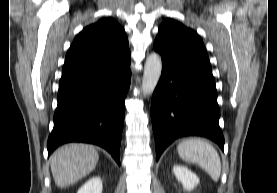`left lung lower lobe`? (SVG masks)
Instances as JSON below:
<instances>
[{"instance_id": "obj_1", "label": "left lung lower lobe", "mask_w": 277, "mask_h": 193, "mask_svg": "<svg viewBox=\"0 0 277 193\" xmlns=\"http://www.w3.org/2000/svg\"><path fill=\"white\" fill-rule=\"evenodd\" d=\"M162 56V74L151 101V119L157 160L175 139L203 136L222 149L220 111L211 66L207 62L177 58L154 42Z\"/></svg>"}]
</instances>
